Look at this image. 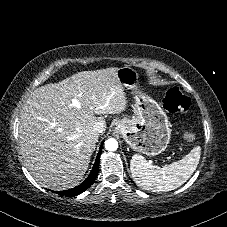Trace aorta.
<instances>
[{
    "instance_id": "obj_1",
    "label": "aorta",
    "mask_w": 227,
    "mask_h": 227,
    "mask_svg": "<svg viewBox=\"0 0 227 227\" xmlns=\"http://www.w3.org/2000/svg\"><path fill=\"white\" fill-rule=\"evenodd\" d=\"M105 148L107 151H116L118 148V142L114 138H109L105 142Z\"/></svg>"
}]
</instances>
